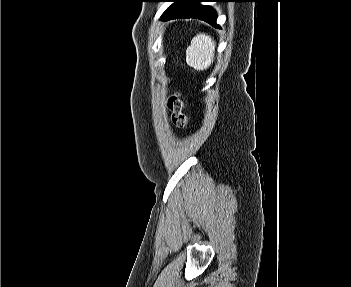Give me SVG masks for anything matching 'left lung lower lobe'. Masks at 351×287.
<instances>
[{
    "mask_svg": "<svg viewBox=\"0 0 351 287\" xmlns=\"http://www.w3.org/2000/svg\"><path fill=\"white\" fill-rule=\"evenodd\" d=\"M207 0H173L174 2L162 15V20L177 18H198L218 27L216 24L217 14L209 6L200 5Z\"/></svg>",
    "mask_w": 351,
    "mask_h": 287,
    "instance_id": "0a47b994",
    "label": "left lung lower lobe"
}]
</instances>
